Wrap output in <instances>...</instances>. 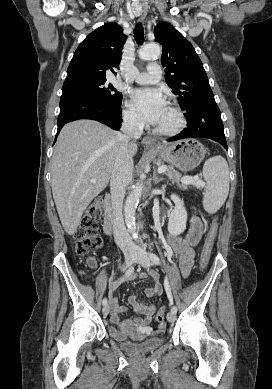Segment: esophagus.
Instances as JSON below:
<instances>
[{
  "label": "esophagus",
  "mask_w": 272,
  "mask_h": 389,
  "mask_svg": "<svg viewBox=\"0 0 272 389\" xmlns=\"http://www.w3.org/2000/svg\"><path fill=\"white\" fill-rule=\"evenodd\" d=\"M146 14H147V8L144 7L141 10L139 15L141 16V18H144L146 16ZM143 143H144V146L146 148H154V147H156L155 140L152 137H150V136H145L144 139H143Z\"/></svg>",
  "instance_id": "34e87169"
}]
</instances>
